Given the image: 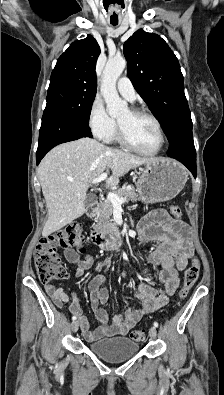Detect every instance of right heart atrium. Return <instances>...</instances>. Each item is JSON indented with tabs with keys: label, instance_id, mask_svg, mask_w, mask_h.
<instances>
[{
	"label": "right heart atrium",
	"instance_id": "d8ad5b80",
	"mask_svg": "<svg viewBox=\"0 0 224 395\" xmlns=\"http://www.w3.org/2000/svg\"><path fill=\"white\" fill-rule=\"evenodd\" d=\"M88 125L93 135L108 140L116 131V121L107 113L103 101L95 98L88 111Z\"/></svg>",
	"mask_w": 224,
	"mask_h": 395
}]
</instances>
